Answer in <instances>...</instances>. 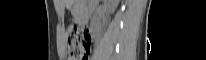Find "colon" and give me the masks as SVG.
<instances>
[{
    "label": "colon",
    "instance_id": "colon-1",
    "mask_svg": "<svg viewBox=\"0 0 206 60\" xmlns=\"http://www.w3.org/2000/svg\"><path fill=\"white\" fill-rule=\"evenodd\" d=\"M67 56L69 60H87L89 35L71 24L66 30Z\"/></svg>",
    "mask_w": 206,
    "mask_h": 60
}]
</instances>
